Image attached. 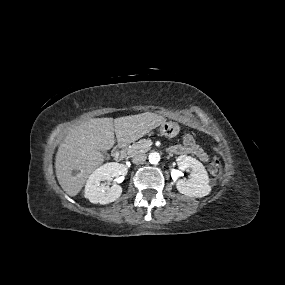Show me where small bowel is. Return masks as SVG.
I'll list each match as a JSON object with an SVG mask.
<instances>
[{
    "instance_id": "small-bowel-1",
    "label": "small bowel",
    "mask_w": 285,
    "mask_h": 285,
    "mask_svg": "<svg viewBox=\"0 0 285 285\" xmlns=\"http://www.w3.org/2000/svg\"><path fill=\"white\" fill-rule=\"evenodd\" d=\"M170 152L176 155L192 154L198 157L202 162H208L209 160L207 153L196 142L191 148H188L183 144L175 145L170 149Z\"/></svg>"
}]
</instances>
